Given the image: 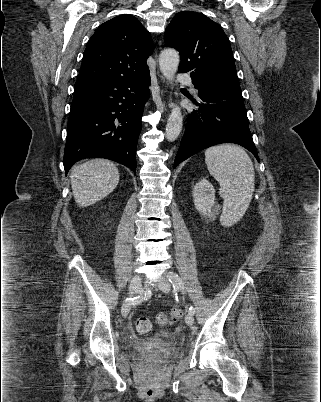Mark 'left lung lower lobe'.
Instances as JSON below:
<instances>
[{
	"instance_id": "1",
	"label": "left lung lower lobe",
	"mask_w": 321,
	"mask_h": 402,
	"mask_svg": "<svg viewBox=\"0 0 321 402\" xmlns=\"http://www.w3.org/2000/svg\"><path fill=\"white\" fill-rule=\"evenodd\" d=\"M196 89L200 101L193 102L199 108L189 114L174 167L193 154L221 143L239 144L259 161L240 86L210 84Z\"/></svg>"
}]
</instances>
